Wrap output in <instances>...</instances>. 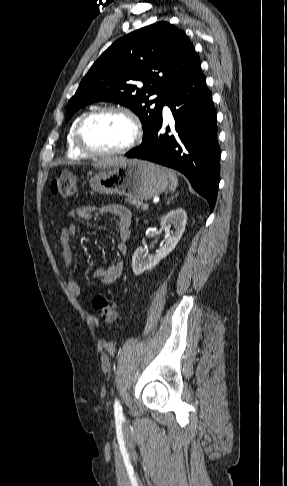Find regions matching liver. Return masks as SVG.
<instances>
[{
  "instance_id": "1",
  "label": "liver",
  "mask_w": 287,
  "mask_h": 486,
  "mask_svg": "<svg viewBox=\"0 0 287 486\" xmlns=\"http://www.w3.org/2000/svg\"><path fill=\"white\" fill-rule=\"evenodd\" d=\"M125 160H126L125 158H114V159H109V160H106V161L98 162V163L94 164L93 166L96 167V168L113 167V166H116V165H118L119 163H121Z\"/></svg>"
}]
</instances>
